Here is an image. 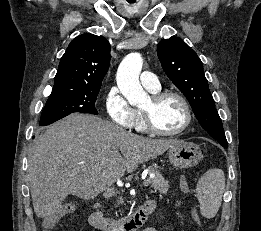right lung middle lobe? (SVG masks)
<instances>
[{"label": "right lung middle lobe", "mask_w": 261, "mask_h": 231, "mask_svg": "<svg viewBox=\"0 0 261 231\" xmlns=\"http://www.w3.org/2000/svg\"><path fill=\"white\" fill-rule=\"evenodd\" d=\"M100 89H54L41 114L40 126L49 125L71 113L97 115L96 98Z\"/></svg>", "instance_id": "right-lung-middle-lobe-1"}]
</instances>
